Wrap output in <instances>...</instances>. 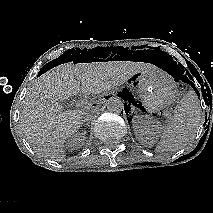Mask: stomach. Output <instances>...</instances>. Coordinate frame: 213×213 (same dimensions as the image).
Segmentation results:
<instances>
[{"label":"stomach","mask_w":213,"mask_h":213,"mask_svg":"<svg viewBox=\"0 0 213 213\" xmlns=\"http://www.w3.org/2000/svg\"><path fill=\"white\" fill-rule=\"evenodd\" d=\"M131 79L138 84L144 107L149 112H158L173 104L178 98L175 83L157 70L137 72Z\"/></svg>","instance_id":"1"}]
</instances>
